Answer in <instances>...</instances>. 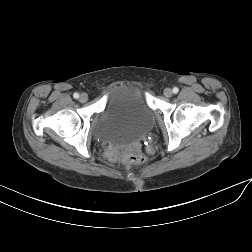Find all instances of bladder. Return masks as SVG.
<instances>
[{
	"label": "bladder",
	"mask_w": 252,
	"mask_h": 252,
	"mask_svg": "<svg viewBox=\"0 0 252 252\" xmlns=\"http://www.w3.org/2000/svg\"><path fill=\"white\" fill-rule=\"evenodd\" d=\"M154 125V114L143 89L134 83L113 85L92 133L100 142L132 143Z\"/></svg>",
	"instance_id": "31cf9c89"
}]
</instances>
